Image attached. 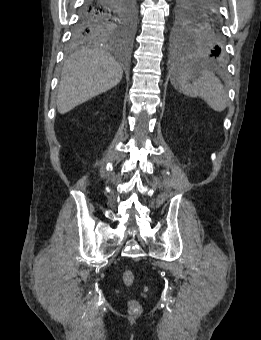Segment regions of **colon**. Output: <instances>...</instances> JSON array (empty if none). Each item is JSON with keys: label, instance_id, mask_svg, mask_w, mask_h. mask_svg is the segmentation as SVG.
<instances>
[{"label": "colon", "instance_id": "colon-1", "mask_svg": "<svg viewBox=\"0 0 261 340\" xmlns=\"http://www.w3.org/2000/svg\"><path fill=\"white\" fill-rule=\"evenodd\" d=\"M122 280L124 285L130 289L132 288L133 284H134V274L131 270H125L122 273ZM128 309L131 313H139L141 311V305L140 303L133 298H129L128 299Z\"/></svg>", "mask_w": 261, "mask_h": 340}]
</instances>
